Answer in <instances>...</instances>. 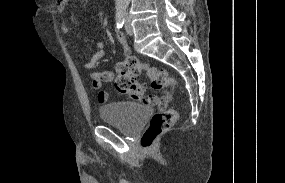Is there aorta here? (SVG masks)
<instances>
[{
    "mask_svg": "<svg viewBox=\"0 0 285 183\" xmlns=\"http://www.w3.org/2000/svg\"><path fill=\"white\" fill-rule=\"evenodd\" d=\"M130 0H115L117 9H126L129 5Z\"/></svg>",
    "mask_w": 285,
    "mask_h": 183,
    "instance_id": "762f6f07",
    "label": "aorta"
}]
</instances>
